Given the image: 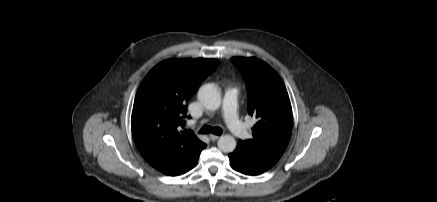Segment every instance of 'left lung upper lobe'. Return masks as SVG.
I'll return each instance as SVG.
<instances>
[{
	"label": "left lung upper lobe",
	"mask_w": 437,
	"mask_h": 202,
	"mask_svg": "<svg viewBox=\"0 0 437 202\" xmlns=\"http://www.w3.org/2000/svg\"><path fill=\"white\" fill-rule=\"evenodd\" d=\"M248 90V111L258 122L253 138L239 145L252 156L273 166L284 153L292 132V108L285 85L267 63L254 57H234Z\"/></svg>",
	"instance_id": "obj_1"
}]
</instances>
